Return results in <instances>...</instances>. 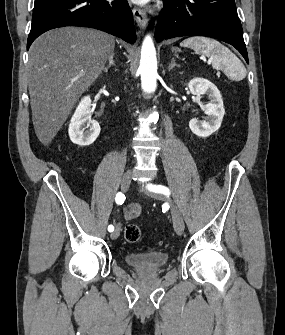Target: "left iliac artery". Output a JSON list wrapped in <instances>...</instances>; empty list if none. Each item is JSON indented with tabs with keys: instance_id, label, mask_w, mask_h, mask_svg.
Returning <instances> with one entry per match:
<instances>
[{
	"instance_id": "1",
	"label": "left iliac artery",
	"mask_w": 285,
	"mask_h": 335,
	"mask_svg": "<svg viewBox=\"0 0 285 335\" xmlns=\"http://www.w3.org/2000/svg\"><path fill=\"white\" fill-rule=\"evenodd\" d=\"M148 189L150 191L155 192V193H162V194H167V195L170 194L169 189L165 186H162V185H152V184H150V185H148Z\"/></svg>"
}]
</instances>
